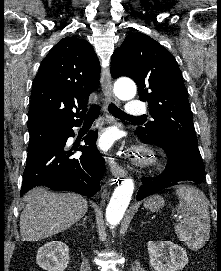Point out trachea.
Wrapping results in <instances>:
<instances>
[{
	"instance_id": "1",
	"label": "trachea",
	"mask_w": 221,
	"mask_h": 271,
	"mask_svg": "<svg viewBox=\"0 0 221 271\" xmlns=\"http://www.w3.org/2000/svg\"><path fill=\"white\" fill-rule=\"evenodd\" d=\"M101 106L100 104H93L90 106L89 111L87 115L85 116V121H94L96 118H98L100 114ZM108 111L115 116L116 118L122 119V120H132V119H138L139 116H132L125 113V111L120 110V108H117L113 103L108 105Z\"/></svg>"
}]
</instances>
